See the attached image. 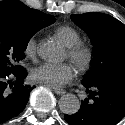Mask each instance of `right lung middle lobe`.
Returning <instances> with one entry per match:
<instances>
[{"label":"right lung middle lobe","mask_w":125,"mask_h":125,"mask_svg":"<svg viewBox=\"0 0 125 125\" xmlns=\"http://www.w3.org/2000/svg\"><path fill=\"white\" fill-rule=\"evenodd\" d=\"M56 21L52 15L48 16L46 23L41 27L44 28ZM35 33H26L15 31L9 27L0 25V68L7 71H13L21 66L19 61L25 58L24 51L30 38Z\"/></svg>","instance_id":"obj_1"}]
</instances>
